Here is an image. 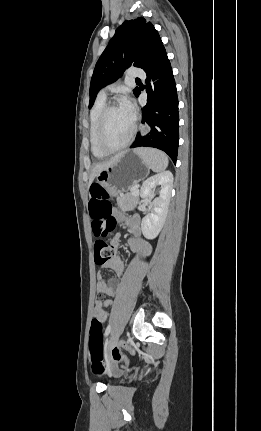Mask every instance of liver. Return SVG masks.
<instances>
[{
	"mask_svg": "<svg viewBox=\"0 0 261 431\" xmlns=\"http://www.w3.org/2000/svg\"><path fill=\"white\" fill-rule=\"evenodd\" d=\"M125 152L119 153L116 156L112 157L111 159H109L106 162H102V163H98L97 165H95V167L92 170V174L90 176L89 179V185H91L95 179V177L97 176V174L99 172H101L102 170L106 169L107 167L113 165L114 163H116L118 161V159L124 154Z\"/></svg>",
	"mask_w": 261,
	"mask_h": 431,
	"instance_id": "1",
	"label": "liver"
}]
</instances>
